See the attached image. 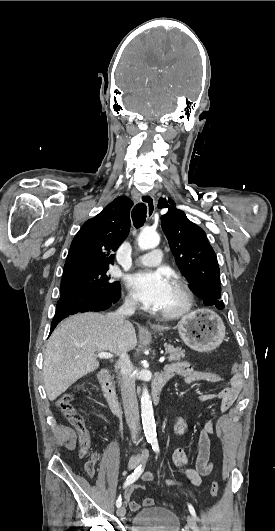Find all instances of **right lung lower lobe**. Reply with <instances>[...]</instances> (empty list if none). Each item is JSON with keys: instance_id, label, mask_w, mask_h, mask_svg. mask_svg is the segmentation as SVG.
I'll return each mask as SVG.
<instances>
[{"instance_id": "1", "label": "right lung lower lobe", "mask_w": 275, "mask_h": 531, "mask_svg": "<svg viewBox=\"0 0 275 531\" xmlns=\"http://www.w3.org/2000/svg\"><path fill=\"white\" fill-rule=\"evenodd\" d=\"M121 296L119 291L111 296H101L92 290L82 287H69L61 289V296L57 303L55 316L52 320L51 332L58 325V322L78 312L103 311L116 303Z\"/></svg>"}]
</instances>
